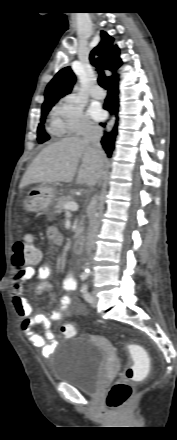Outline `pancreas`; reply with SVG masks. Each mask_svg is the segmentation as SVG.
I'll list each match as a JSON object with an SVG mask.
<instances>
[{
	"label": "pancreas",
	"instance_id": "pancreas-1",
	"mask_svg": "<svg viewBox=\"0 0 177 440\" xmlns=\"http://www.w3.org/2000/svg\"><path fill=\"white\" fill-rule=\"evenodd\" d=\"M72 202V197L67 195V196H62L57 200V203L54 207V213L56 214H60L62 212V210L64 209V205ZM83 219L79 222L78 228L76 230V235L75 237H78V235L83 231Z\"/></svg>",
	"mask_w": 177,
	"mask_h": 440
}]
</instances>
